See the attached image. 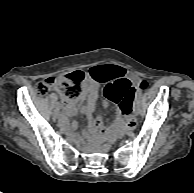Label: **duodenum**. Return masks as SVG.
<instances>
[{
  "label": "duodenum",
  "instance_id": "obj_1",
  "mask_svg": "<svg viewBox=\"0 0 194 193\" xmlns=\"http://www.w3.org/2000/svg\"><path fill=\"white\" fill-rule=\"evenodd\" d=\"M91 141H92V142L98 141V137H97V136H92V137H91ZM98 143H100V140L98 141Z\"/></svg>",
  "mask_w": 194,
  "mask_h": 193
}]
</instances>
